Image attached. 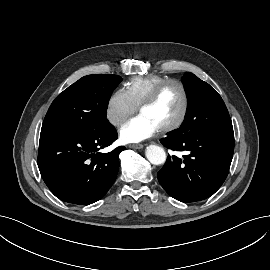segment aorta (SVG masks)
Returning <instances> with one entry per match:
<instances>
[{
  "instance_id": "762f6f07",
  "label": "aorta",
  "mask_w": 270,
  "mask_h": 270,
  "mask_svg": "<svg viewBox=\"0 0 270 270\" xmlns=\"http://www.w3.org/2000/svg\"><path fill=\"white\" fill-rule=\"evenodd\" d=\"M145 155L149 162L154 165L164 164L166 161V153L164 149L158 145H149L146 148Z\"/></svg>"
}]
</instances>
